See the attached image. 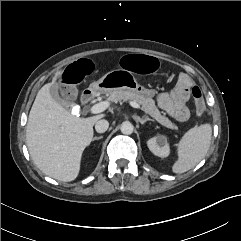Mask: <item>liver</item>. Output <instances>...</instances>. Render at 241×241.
Returning a JSON list of instances; mask_svg holds the SVG:
<instances>
[{"label":"liver","instance_id":"liver-1","mask_svg":"<svg viewBox=\"0 0 241 241\" xmlns=\"http://www.w3.org/2000/svg\"><path fill=\"white\" fill-rule=\"evenodd\" d=\"M63 70L56 72L54 79ZM53 83L37 93L26 126V143L35 165L47 176L70 182L80 171L84 149L93 138V126L103 114L80 118L72 115L50 94Z\"/></svg>","mask_w":241,"mask_h":241}]
</instances>
